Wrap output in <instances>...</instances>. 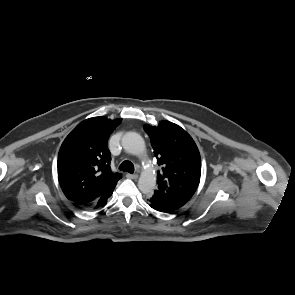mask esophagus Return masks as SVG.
<instances>
[{
  "mask_svg": "<svg viewBox=\"0 0 295 295\" xmlns=\"http://www.w3.org/2000/svg\"><path fill=\"white\" fill-rule=\"evenodd\" d=\"M126 177L129 178V179H137L138 178V175L137 174L127 173L126 174Z\"/></svg>",
  "mask_w": 295,
  "mask_h": 295,
  "instance_id": "esophagus-1",
  "label": "esophagus"
}]
</instances>
